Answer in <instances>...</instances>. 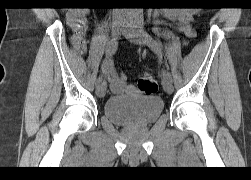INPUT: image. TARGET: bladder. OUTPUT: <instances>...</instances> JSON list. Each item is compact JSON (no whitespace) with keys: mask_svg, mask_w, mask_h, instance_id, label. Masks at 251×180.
Segmentation results:
<instances>
[{"mask_svg":"<svg viewBox=\"0 0 251 180\" xmlns=\"http://www.w3.org/2000/svg\"><path fill=\"white\" fill-rule=\"evenodd\" d=\"M163 109L164 102L156 95H112L104 104L103 114L117 125L147 126L157 121Z\"/></svg>","mask_w":251,"mask_h":180,"instance_id":"1","label":"bladder"}]
</instances>
